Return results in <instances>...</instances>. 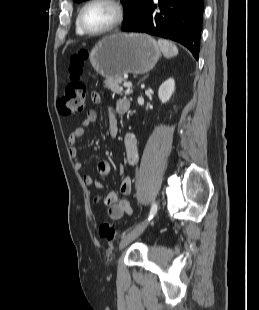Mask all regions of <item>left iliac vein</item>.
I'll return each instance as SVG.
<instances>
[{
	"instance_id": "1",
	"label": "left iliac vein",
	"mask_w": 259,
	"mask_h": 310,
	"mask_svg": "<svg viewBox=\"0 0 259 310\" xmlns=\"http://www.w3.org/2000/svg\"><path fill=\"white\" fill-rule=\"evenodd\" d=\"M150 220H146L145 222L139 224L136 226L132 231H130L128 234H126L119 245L120 249H123L127 247L130 243H132L136 238H138L146 229L148 226Z\"/></svg>"
}]
</instances>
